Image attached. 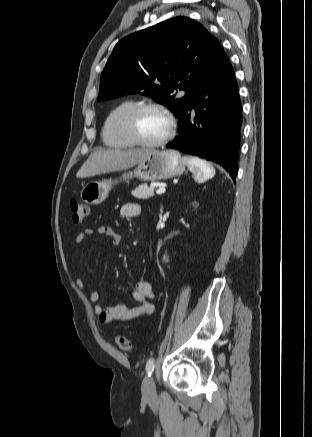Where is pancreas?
<instances>
[{"mask_svg":"<svg viewBox=\"0 0 312 437\" xmlns=\"http://www.w3.org/2000/svg\"><path fill=\"white\" fill-rule=\"evenodd\" d=\"M154 186H148L147 184H141L134 190L132 195L138 199H148L154 195Z\"/></svg>","mask_w":312,"mask_h":437,"instance_id":"cf45deb5","label":"pancreas"}]
</instances>
